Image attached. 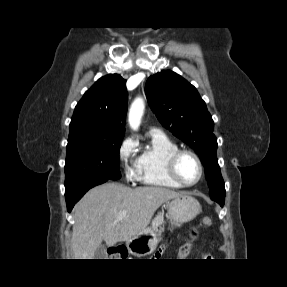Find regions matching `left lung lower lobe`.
<instances>
[{
	"mask_svg": "<svg viewBox=\"0 0 287 287\" xmlns=\"http://www.w3.org/2000/svg\"><path fill=\"white\" fill-rule=\"evenodd\" d=\"M218 204H220V206H223L224 205V202H221V201H216Z\"/></svg>",
	"mask_w": 287,
	"mask_h": 287,
	"instance_id": "1",
	"label": "left lung lower lobe"
}]
</instances>
